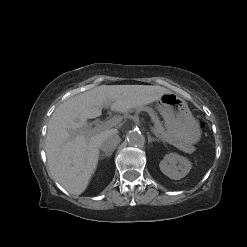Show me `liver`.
<instances>
[{"mask_svg":"<svg viewBox=\"0 0 247 247\" xmlns=\"http://www.w3.org/2000/svg\"><path fill=\"white\" fill-rule=\"evenodd\" d=\"M170 92L158 85H101L63 102L50 118L45 142L52 178L69 193L82 194L96 170L102 140L118 133L115 128L99 133L84 131L86 121L99 117L103 108L127 112Z\"/></svg>","mask_w":247,"mask_h":247,"instance_id":"obj_1","label":"liver"}]
</instances>
